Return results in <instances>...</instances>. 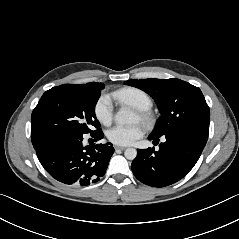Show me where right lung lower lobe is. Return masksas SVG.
Listing matches in <instances>:
<instances>
[{
	"label": "right lung lower lobe",
	"instance_id": "right-lung-lower-lobe-1",
	"mask_svg": "<svg viewBox=\"0 0 239 239\" xmlns=\"http://www.w3.org/2000/svg\"><path fill=\"white\" fill-rule=\"evenodd\" d=\"M95 141L104 137L102 130L92 133ZM45 170L56 180L76 186L99 181L114 153L111 143L83 145V134L61 132L50 135L35 148Z\"/></svg>",
	"mask_w": 239,
	"mask_h": 239
}]
</instances>
